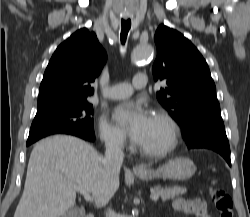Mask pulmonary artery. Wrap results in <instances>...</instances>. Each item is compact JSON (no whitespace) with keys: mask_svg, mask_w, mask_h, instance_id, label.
Masks as SVG:
<instances>
[{"mask_svg":"<svg viewBox=\"0 0 250 217\" xmlns=\"http://www.w3.org/2000/svg\"><path fill=\"white\" fill-rule=\"evenodd\" d=\"M147 85V75L138 73L134 76L132 83H118L103 90V95L108 99H124L129 97L134 89H142Z\"/></svg>","mask_w":250,"mask_h":217,"instance_id":"obj_1","label":"pulmonary artery"}]
</instances>
